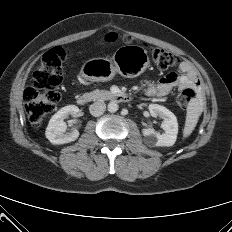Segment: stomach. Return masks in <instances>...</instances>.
<instances>
[{"label": "stomach", "instance_id": "0dacf381", "mask_svg": "<svg viewBox=\"0 0 232 232\" xmlns=\"http://www.w3.org/2000/svg\"><path fill=\"white\" fill-rule=\"evenodd\" d=\"M149 63L147 51L143 47L127 45L118 48L112 60L93 58L86 61L81 68V74L91 82L109 81L116 73L131 78L143 73Z\"/></svg>", "mask_w": 232, "mask_h": 232}]
</instances>
